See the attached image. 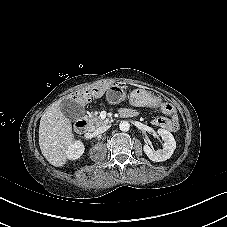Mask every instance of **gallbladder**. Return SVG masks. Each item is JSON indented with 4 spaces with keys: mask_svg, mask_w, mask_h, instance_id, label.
<instances>
[{
    "mask_svg": "<svg viewBox=\"0 0 227 227\" xmlns=\"http://www.w3.org/2000/svg\"><path fill=\"white\" fill-rule=\"evenodd\" d=\"M60 109L69 120L73 121L83 116L85 112L82 104L70 99L63 100L60 104Z\"/></svg>",
    "mask_w": 227,
    "mask_h": 227,
    "instance_id": "gallbladder-1",
    "label": "gallbladder"
}]
</instances>
